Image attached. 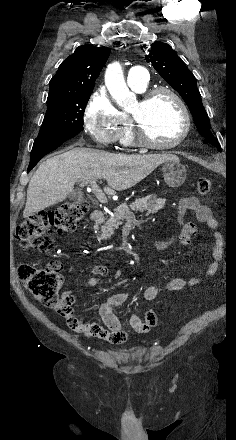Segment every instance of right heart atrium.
<instances>
[{
    "mask_svg": "<svg viewBox=\"0 0 236 440\" xmlns=\"http://www.w3.org/2000/svg\"><path fill=\"white\" fill-rule=\"evenodd\" d=\"M87 134L101 147L113 146L120 138L121 119L104 87L90 95L83 113Z\"/></svg>",
    "mask_w": 236,
    "mask_h": 440,
    "instance_id": "right-heart-atrium-1",
    "label": "right heart atrium"
}]
</instances>
